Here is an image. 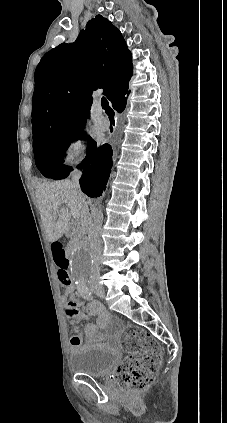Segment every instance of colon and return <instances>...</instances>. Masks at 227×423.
<instances>
[{
  "label": "colon",
  "mask_w": 227,
  "mask_h": 423,
  "mask_svg": "<svg viewBox=\"0 0 227 423\" xmlns=\"http://www.w3.org/2000/svg\"><path fill=\"white\" fill-rule=\"evenodd\" d=\"M52 251L58 278L65 287H68L71 281L67 273L68 261L62 244L53 243ZM121 345L128 356L117 369L116 380L122 387L134 392L147 390L162 359L158 342L145 330L128 326L123 332Z\"/></svg>",
  "instance_id": "obj_1"
}]
</instances>
